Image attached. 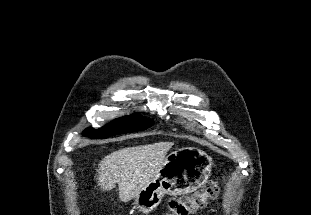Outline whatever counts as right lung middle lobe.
Here are the masks:
<instances>
[{
    "instance_id": "right-lung-middle-lobe-1",
    "label": "right lung middle lobe",
    "mask_w": 311,
    "mask_h": 215,
    "mask_svg": "<svg viewBox=\"0 0 311 215\" xmlns=\"http://www.w3.org/2000/svg\"><path fill=\"white\" fill-rule=\"evenodd\" d=\"M152 125L153 121L142 118L137 114H133L131 116L116 119L98 130L87 128L84 131V135L91 137L92 139H95L96 137L104 139L118 134L145 130Z\"/></svg>"
}]
</instances>
